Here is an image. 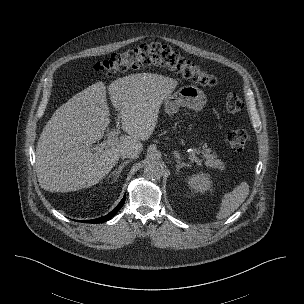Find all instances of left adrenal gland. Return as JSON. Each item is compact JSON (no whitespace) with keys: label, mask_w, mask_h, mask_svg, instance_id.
I'll use <instances>...</instances> for the list:
<instances>
[{"label":"left adrenal gland","mask_w":304,"mask_h":304,"mask_svg":"<svg viewBox=\"0 0 304 304\" xmlns=\"http://www.w3.org/2000/svg\"><path fill=\"white\" fill-rule=\"evenodd\" d=\"M176 171L179 172V170L184 166H189V163L181 162L179 159H176Z\"/></svg>","instance_id":"1"}]
</instances>
